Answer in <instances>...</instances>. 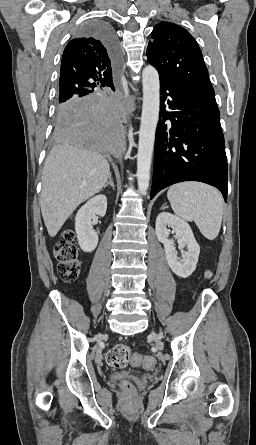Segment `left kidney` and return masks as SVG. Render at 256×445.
<instances>
[{"label":"left kidney","mask_w":256,"mask_h":445,"mask_svg":"<svg viewBox=\"0 0 256 445\" xmlns=\"http://www.w3.org/2000/svg\"><path fill=\"white\" fill-rule=\"evenodd\" d=\"M155 228L158 240L164 245L166 259L171 270L179 277H189L196 269L200 253V247L189 224L169 212H162L157 216ZM169 228L175 232L179 248L183 250L184 247H187L183 259H179L177 256L174 241L169 238L171 232Z\"/></svg>","instance_id":"left-kidney-1"}]
</instances>
